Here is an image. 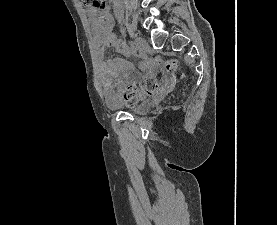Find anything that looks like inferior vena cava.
<instances>
[{
	"instance_id": "602c4592",
	"label": "inferior vena cava",
	"mask_w": 277,
	"mask_h": 225,
	"mask_svg": "<svg viewBox=\"0 0 277 225\" xmlns=\"http://www.w3.org/2000/svg\"><path fill=\"white\" fill-rule=\"evenodd\" d=\"M114 7L120 8L122 4V0H113Z\"/></svg>"
}]
</instances>
